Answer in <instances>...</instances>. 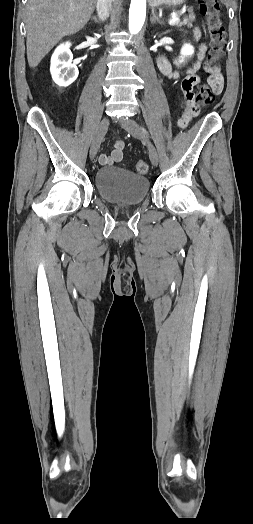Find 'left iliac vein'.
Masks as SVG:
<instances>
[{
  "mask_svg": "<svg viewBox=\"0 0 253 524\" xmlns=\"http://www.w3.org/2000/svg\"><path fill=\"white\" fill-rule=\"evenodd\" d=\"M120 124L133 137L142 139L146 143L149 151L150 161L154 166H157L159 162L157 150L151 143V141L148 139L147 135L143 132L141 127L138 125V123L131 118H123L120 120Z\"/></svg>",
  "mask_w": 253,
  "mask_h": 524,
  "instance_id": "1",
  "label": "left iliac vein"
}]
</instances>
